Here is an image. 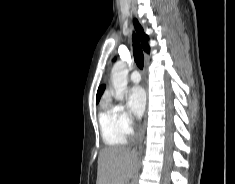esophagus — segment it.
Instances as JSON below:
<instances>
[{
	"mask_svg": "<svg viewBox=\"0 0 235 184\" xmlns=\"http://www.w3.org/2000/svg\"><path fill=\"white\" fill-rule=\"evenodd\" d=\"M146 123H147V108L145 110L144 113V119H143V127H142V136H141V140H140V144H139V151H142V139L144 137L145 134V130H146Z\"/></svg>",
	"mask_w": 235,
	"mask_h": 184,
	"instance_id": "esophagus-1",
	"label": "esophagus"
}]
</instances>
